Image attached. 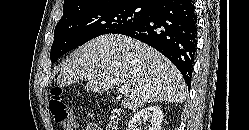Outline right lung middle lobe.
<instances>
[{
  "mask_svg": "<svg viewBox=\"0 0 249 130\" xmlns=\"http://www.w3.org/2000/svg\"><path fill=\"white\" fill-rule=\"evenodd\" d=\"M150 10L149 3L110 0L63 12L55 27L50 53L52 63L97 36L119 33L141 22Z\"/></svg>",
  "mask_w": 249,
  "mask_h": 130,
  "instance_id": "right-lung-middle-lobe-1",
  "label": "right lung middle lobe"
}]
</instances>
